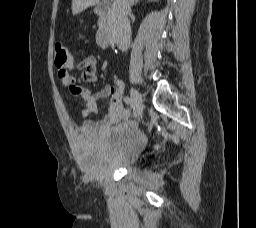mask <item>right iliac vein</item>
I'll return each mask as SVG.
<instances>
[{
  "mask_svg": "<svg viewBox=\"0 0 256 228\" xmlns=\"http://www.w3.org/2000/svg\"><path fill=\"white\" fill-rule=\"evenodd\" d=\"M131 98H132L134 113L137 117H139L143 113V108H144L143 97L139 91L132 88L131 89Z\"/></svg>",
  "mask_w": 256,
  "mask_h": 228,
  "instance_id": "1",
  "label": "right iliac vein"
}]
</instances>
